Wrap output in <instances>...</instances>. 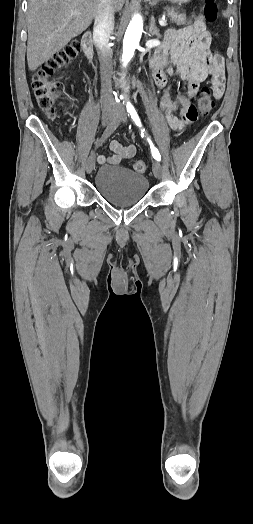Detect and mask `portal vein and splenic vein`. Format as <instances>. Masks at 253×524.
Instances as JSON below:
<instances>
[{
  "label": "portal vein and splenic vein",
  "mask_w": 253,
  "mask_h": 524,
  "mask_svg": "<svg viewBox=\"0 0 253 524\" xmlns=\"http://www.w3.org/2000/svg\"><path fill=\"white\" fill-rule=\"evenodd\" d=\"M73 14H74V15H78V12H73ZM159 24H160L161 26H166V21H165V19H161V20H159Z\"/></svg>",
  "instance_id": "obj_1"
}]
</instances>
